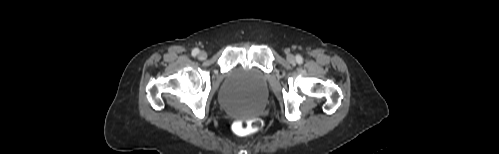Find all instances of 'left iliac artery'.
<instances>
[{
	"label": "left iliac artery",
	"instance_id": "1",
	"mask_svg": "<svg viewBox=\"0 0 499 154\" xmlns=\"http://www.w3.org/2000/svg\"><path fill=\"white\" fill-rule=\"evenodd\" d=\"M296 61L300 64L303 62V58L300 55L296 56Z\"/></svg>",
	"mask_w": 499,
	"mask_h": 154
}]
</instances>
